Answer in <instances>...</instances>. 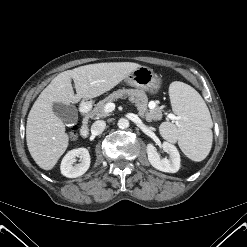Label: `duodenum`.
<instances>
[{
  "instance_id": "410a0bca",
  "label": "duodenum",
  "mask_w": 247,
  "mask_h": 247,
  "mask_svg": "<svg viewBox=\"0 0 247 247\" xmlns=\"http://www.w3.org/2000/svg\"><path fill=\"white\" fill-rule=\"evenodd\" d=\"M91 110V105L88 102L82 103L80 106V114L82 116V122L80 127V135L84 138L89 136V124L88 114Z\"/></svg>"
}]
</instances>
